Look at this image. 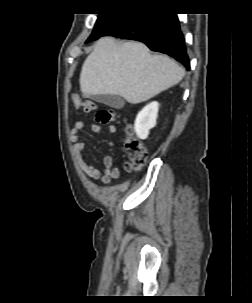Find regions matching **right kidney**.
Instances as JSON below:
<instances>
[{
    "mask_svg": "<svg viewBox=\"0 0 252 303\" xmlns=\"http://www.w3.org/2000/svg\"><path fill=\"white\" fill-rule=\"evenodd\" d=\"M159 103L153 101L146 105L137 115L135 120V132L140 139H146L150 129L155 127L158 117Z\"/></svg>",
    "mask_w": 252,
    "mask_h": 303,
    "instance_id": "1",
    "label": "right kidney"
}]
</instances>
